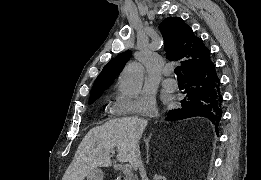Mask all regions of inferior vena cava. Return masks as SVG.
Returning <instances> with one entry per match:
<instances>
[{
    "label": "inferior vena cava",
    "mask_w": 261,
    "mask_h": 180,
    "mask_svg": "<svg viewBox=\"0 0 261 180\" xmlns=\"http://www.w3.org/2000/svg\"><path fill=\"white\" fill-rule=\"evenodd\" d=\"M142 166H143V164H142V160L140 158V152H138L137 160H136V168H139L141 176H143V172L141 170Z\"/></svg>",
    "instance_id": "602c4592"
}]
</instances>
